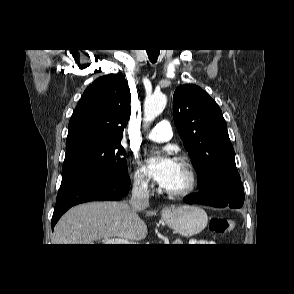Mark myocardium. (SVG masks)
<instances>
[{
  "instance_id": "1",
  "label": "myocardium",
  "mask_w": 294,
  "mask_h": 294,
  "mask_svg": "<svg viewBox=\"0 0 294 294\" xmlns=\"http://www.w3.org/2000/svg\"><path fill=\"white\" fill-rule=\"evenodd\" d=\"M176 162L182 166V168L185 170V173L187 175V184L183 189L180 190H168L165 188H161V191L163 194L173 197V198H181L186 197L189 194H191L197 185V175L195 168L193 164L186 158L178 157L176 159Z\"/></svg>"
}]
</instances>
